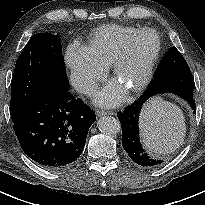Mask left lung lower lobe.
<instances>
[{
    "label": "left lung lower lobe",
    "instance_id": "1",
    "mask_svg": "<svg viewBox=\"0 0 205 205\" xmlns=\"http://www.w3.org/2000/svg\"><path fill=\"white\" fill-rule=\"evenodd\" d=\"M194 88L195 83L191 72H182L153 79L138 100L127 107L125 111L117 114L122 126L123 148L136 164L143 167H155L163 162L150 157L142 148L139 140V118L145 103L154 95L170 92L186 100L195 112Z\"/></svg>",
    "mask_w": 205,
    "mask_h": 205
}]
</instances>
